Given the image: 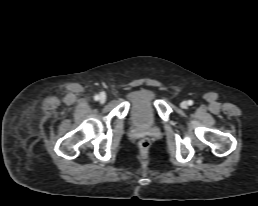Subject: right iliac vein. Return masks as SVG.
I'll use <instances>...</instances> for the list:
<instances>
[{
    "label": "right iliac vein",
    "instance_id": "right-iliac-vein-1",
    "mask_svg": "<svg viewBox=\"0 0 258 206\" xmlns=\"http://www.w3.org/2000/svg\"><path fill=\"white\" fill-rule=\"evenodd\" d=\"M106 101V95L104 93L100 94L99 96V102L104 103Z\"/></svg>",
    "mask_w": 258,
    "mask_h": 206
}]
</instances>
